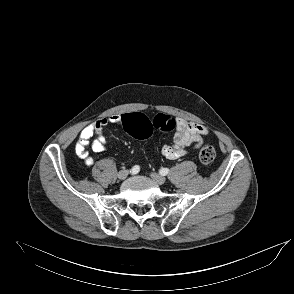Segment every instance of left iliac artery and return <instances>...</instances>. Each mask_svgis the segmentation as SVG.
Masks as SVG:
<instances>
[{
	"label": "left iliac artery",
	"mask_w": 294,
	"mask_h": 294,
	"mask_svg": "<svg viewBox=\"0 0 294 294\" xmlns=\"http://www.w3.org/2000/svg\"><path fill=\"white\" fill-rule=\"evenodd\" d=\"M159 173H160L161 175L165 176V175H167V174L169 173V169H167V168H161V169L159 170Z\"/></svg>",
	"instance_id": "44dca946"
}]
</instances>
